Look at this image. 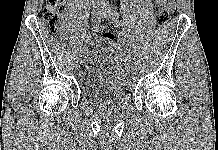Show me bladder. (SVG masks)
<instances>
[{"mask_svg":"<svg viewBox=\"0 0 218 150\" xmlns=\"http://www.w3.org/2000/svg\"><path fill=\"white\" fill-rule=\"evenodd\" d=\"M125 81L112 47L101 40L90 43L79 72L82 93L97 104L121 108L129 100Z\"/></svg>","mask_w":218,"mask_h":150,"instance_id":"1","label":"bladder"}]
</instances>
